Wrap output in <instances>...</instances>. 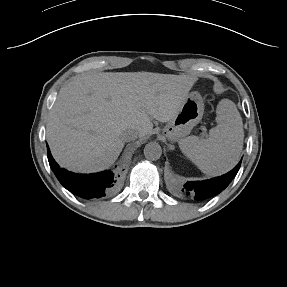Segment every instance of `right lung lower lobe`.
I'll return each instance as SVG.
<instances>
[{"label":"right lung lower lobe","mask_w":287,"mask_h":287,"mask_svg":"<svg viewBox=\"0 0 287 287\" xmlns=\"http://www.w3.org/2000/svg\"><path fill=\"white\" fill-rule=\"evenodd\" d=\"M48 160L51 169L60 183L73 194L85 199L97 200L111 194L117 184V176L111 171L95 174H75L59 167L53 159L49 148Z\"/></svg>","instance_id":"right-lung-lower-lobe-1"}]
</instances>
